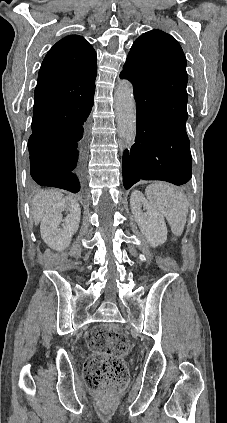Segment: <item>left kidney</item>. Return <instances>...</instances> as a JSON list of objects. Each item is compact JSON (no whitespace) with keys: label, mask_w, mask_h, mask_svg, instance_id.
Returning <instances> with one entry per match:
<instances>
[{"label":"left kidney","mask_w":227,"mask_h":423,"mask_svg":"<svg viewBox=\"0 0 227 423\" xmlns=\"http://www.w3.org/2000/svg\"><path fill=\"white\" fill-rule=\"evenodd\" d=\"M131 211L147 241L152 247L161 245L167 239L165 219L159 211L154 210L141 192L134 190L130 198ZM143 206V211L141 210Z\"/></svg>","instance_id":"obj_1"}]
</instances>
